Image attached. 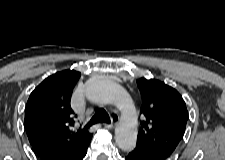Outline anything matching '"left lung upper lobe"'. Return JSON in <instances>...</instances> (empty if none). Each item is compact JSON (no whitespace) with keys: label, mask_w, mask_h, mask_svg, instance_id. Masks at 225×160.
Returning <instances> with one entry per match:
<instances>
[{"label":"left lung upper lobe","mask_w":225,"mask_h":160,"mask_svg":"<svg viewBox=\"0 0 225 160\" xmlns=\"http://www.w3.org/2000/svg\"><path fill=\"white\" fill-rule=\"evenodd\" d=\"M144 120L138 132L136 150L156 160L169 158L185 133L188 111L181 95L156 79L140 78Z\"/></svg>","instance_id":"obj_1"}]
</instances>
